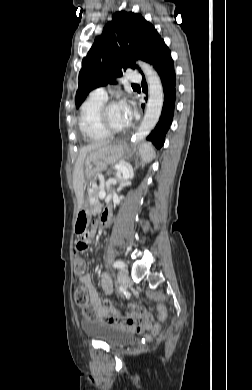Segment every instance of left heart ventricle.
<instances>
[{
  "mask_svg": "<svg viewBox=\"0 0 252 390\" xmlns=\"http://www.w3.org/2000/svg\"><path fill=\"white\" fill-rule=\"evenodd\" d=\"M107 120L114 129H123L129 125L120 104L109 107L107 111Z\"/></svg>",
  "mask_w": 252,
  "mask_h": 390,
  "instance_id": "left-heart-ventricle-1",
  "label": "left heart ventricle"
}]
</instances>
